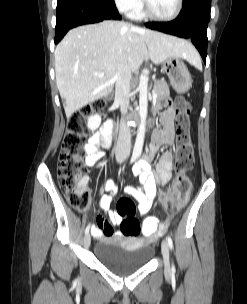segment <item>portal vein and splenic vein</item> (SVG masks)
I'll use <instances>...</instances> for the list:
<instances>
[{
    "instance_id": "obj_1",
    "label": "portal vein and splenic vein",
    "mask_w": 247,
    "mask_h": 304,
    "mask_svg": "<svg viewBox=\"0 0 247 304\" xmlns=\"http://www.w3.org/2000/svg\"><path fill=\"white\" fill-rule=\"evenodd\" d=\"M97 76H99V77H103V76H104V74H103V73H98V74H97ZM153 96H154V97H156V96H157V94L153 92Z\"/></svg>"
}]
</instances>
